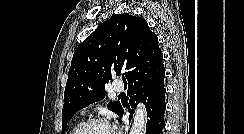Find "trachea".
Listing matches in <instances>:
<instances>
[{"mask_svg": "<svg viewBox=\"0 0 244 134\" xmlns=\"http://www.w3.org/2000/svg\"><path fill=\"white\" fill-rule=\"evenodd\" d=\"M123 95H125V94H124V93H121V94L119 95V97H120V96H123Z\"/></svg>", "mask_w": 244, "mask_h": 134, "instance_id": "3493384b", "label": "trachea"}]
</instances>
